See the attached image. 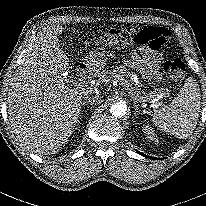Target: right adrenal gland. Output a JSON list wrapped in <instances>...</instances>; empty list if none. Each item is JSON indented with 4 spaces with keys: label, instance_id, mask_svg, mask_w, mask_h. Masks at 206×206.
<instances>
[{
    "label": "right adrenal gland",
    "instance_id": "obj_1",
    "mask_svg": "<svg viewBox=\"0 0 206 206\" xmlns=\"http://www.w3.org/2000/svg\"><path fill=\"white\" fill-rule=\"evenodd\" d=\"M93 104H94V102L88 100V101H83L82 106L91 105L90 109H92L93 108Z\"/></svg>",
    "mask_w": 206,
    "mask_h": 206
}]
</instances>
